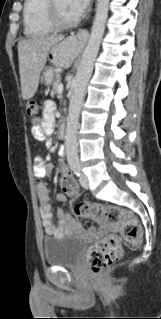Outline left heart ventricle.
I'll list each match as a JSON object with an SVG mask.
<instances>
[{"instance_id":"obj_1","label":"left heart ventricle","mask_w":161,"mask_h":319,"mask_svg":"<svg viewBox=\"0 0 161 319\" xmlns=\"http://www.w3.org/2000/svg\"><path fill=\"white\" fill-rule=\"evenodd\" d=\"M57 6L62 19L70 20L76 17V15L70 10L67 0H57Z\"/></svg>"}]
</instances>
